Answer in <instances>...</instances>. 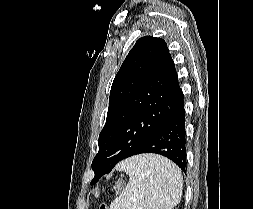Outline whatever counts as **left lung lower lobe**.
Returning <instances> with one entry per match:
<instances>
[{
    "label": "left lung lower lobe",
    "mask_w": 253,
    "mask_h": 209,
    "mask_svg": "<svg viewBox=\"0 0 253 209\" xmlns=\"http://www.w3.org/2000/svg\"><path fill=\"white\" fill-rule=\"evenodd\" d=\"M156 153L175 162L184 172L186 169L185 110L182 91L176 106L163 125L134 154ZM97 181L91 182L95 184Z\"/></svg>",
    "instance_id": "0a47b994"
}]
</instances>
